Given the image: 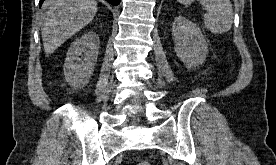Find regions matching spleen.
<instances>
[{
	"mask_svg": "<svg viewBox=\"0 0 276 165\" xmlns=\"http://www.w3.org/2000/svg\"><path fill=\"white\" fill-rule=\"evenodd\" d=\"M183 5H189L194 0H177ZM207 11L204 14L206 28L213 34L228 32L233 24V8L230 0H198Z\"/></svg>",
	"mask_w": 276,
	"mask_h": 165,
	"instance_id": "1",
	"label": "spleen"
}]
</instances>
